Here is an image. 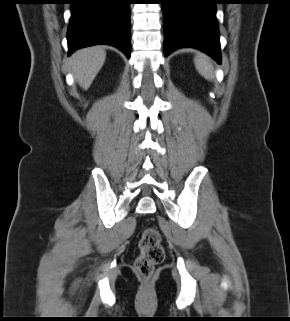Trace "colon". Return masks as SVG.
<instances>
[{
  "label": "colon",
  "mask_w": 290,
  "mask_h": 321,
  "mask_svg": "<svg viewBox=\"0 0 290 321\" xmlns=\"http://www.w3.org/2000/svg\"><path fill=\"white\" fill-rule=\"evenodd\" d=\"M139 249L140 253L135 261L136 272L143 278H150L155 267L165 257L160 233L154 228H147L140 238Z\"/></svg>",
  "instance_id": "colon-1"
}]
</instances>
